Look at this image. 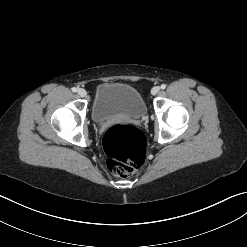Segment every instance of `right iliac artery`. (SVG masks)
<instances>
[{
  "mask_svg": "<svg viewBox=\"0 0 247 247\" xmlns=\"http://www.w3.org/2000/svg\"><path fill=\"white\" fill-rule=\"evenodd\" d=\"M72 91H73V92H77V88H76V87H73V88H72Z\"/></svg>",
  "mask_w": 247,
  "mask_h": 247,
  "instance_id": "obj_1",
  "label": "right iliac artery"
}]
</instances>
